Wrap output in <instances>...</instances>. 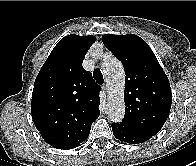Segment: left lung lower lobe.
<instances>
[{"instance_id": "1", "label": "left lung lower lobe", "mask_w": 196, "mask_h": 166, "mask_svg": "<svg viewBox=\"0 0 196 166\" xmlns=\"http://www.w3.org/2000/svg\"><path fill=\"white\" fill-rule=\"evenodd\" d=\"M112 131L114 136L126 143L138 144L150 139L152 136L134 131L120 123H112Z\"/></svg>"}]
</instances>
